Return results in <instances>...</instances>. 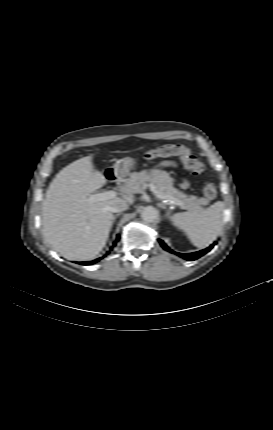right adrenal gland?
Returning <instances> with one entry per match:
<instances>
[{"label":"right adrenal gland","instance_id":"right-adrenal-gland-1","mask_svg":"<svg viewBox=\"0 0 273 430\" xmlns=\"http://www.w3.org/2000/svg\"><path fill=\"white\" fill-rule=\"evenodd\" d=\"M119 215H120V213H117L116 215H114V216H113V219H112V225H113V223L115 222L116 217H118Z\"/></svg>","mask_w":273,"mask_h":430}]
</instances>
